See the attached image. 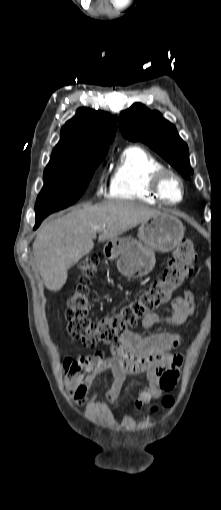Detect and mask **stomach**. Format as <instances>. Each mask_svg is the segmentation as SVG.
Returning <instances> with one entry per match:
<instances>
[{
    "mask_svg": "<svg viewBox=\"0 0 221 510\" xmlns=\"http://www.w3.org/2000/svg\"><path fill=\"white\" fill-rule=\"evenodd\" d=\"M185 228L172 214L160 213L141 223L139 240L131 237L113 238L104 246L109 259L117 260L118 271L128 278H140L155 265V252H169L183 239Z\"/></svg>",
    "mask_w": 221,
    "mask_h": 510,
    "instance_id": "obj_1",
    "label": "stomach"
}]
</instances>
